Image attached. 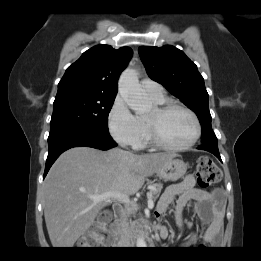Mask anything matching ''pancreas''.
I'll return each mask as SVG.
<instances>
[{
    "label": "pancreas",
    "instance_id": "obj_1",
    "mask_svg": "<svg viewBox=\"0 0 261 261\" xmlns=\"http://www.w3.org/2000/svg\"><path fill=\"white\" fill-rule=\"evenodd\" d=\"M162 188H163V185L161 183H151L150 184V192H151L152 199L154 201L159 197ZM134 228H135V222H131L130 230L132 231Z\"/></svg>",
    "mask_w": 261,
    "mask_h": 261
}]
</instances>
